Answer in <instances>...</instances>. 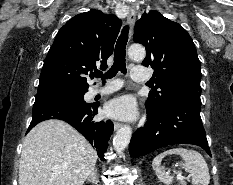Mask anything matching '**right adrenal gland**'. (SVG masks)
Masks as SVG:
<instances>
[{
    "mask_svg": "<svg viewBox=\"0 0 233 185\" xmlns=\"http://www.w3.org/2000/svg\"><path fill=\"white\" fill-rule=\"evenodd\" d=\"M88 182H93L95 184H97L99 182L98 180V175H97V168H95L93 170V172L91 173V175L87 178Z\"/></svg>",
    "mask_w": 233,
    "mask_h": 185,
    "instance_id": "2a0ac1e0",
    "label": "right adrenal gland"
}]
</instances>
